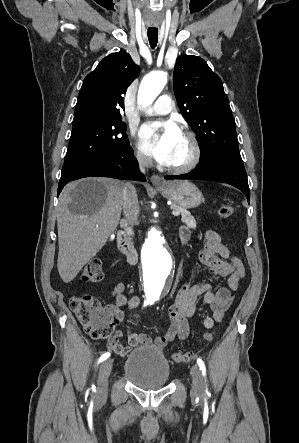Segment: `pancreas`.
I'll list each match as a JSON object with an SVG mask.
<instances>
[{
    "mask_svg": "<svg viewBox=\"0 0 299 443\" xmlns=\"http://www.w3.org/2000/svg\"><path fill=\"white\" fill-rule=\"evenodd\" d=\"M171 209L177 210L181 214V221L189 228L196 229V220L187 209L177 205L176 203L171 205ZM132 234V230H128V235L131 236Z\"/></svg>",
    "mask_w": 299,
    "mask_h": 443,
    "instance_id": "1",
    "label": "pancreas"
}]
</instances>
